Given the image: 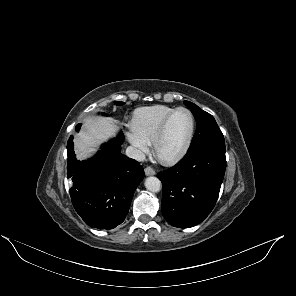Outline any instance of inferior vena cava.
<instances>
[{
    "label": "inferior vena cava",
    "instance_id": "inferior-vena-cava-1",
    "mask_svg": "<svg viewBox=\"0 0 296 296\" xmlns=\"http://www.w3.org/2000/svg\"><path fill=\"white\" fill-rule=\"evenodd\" d=\"M126 155L132 159L139 161V162H142L145 160V154L141 150H139L133 146H129L126 149Z\"/></svg>",
    "mask_w": 296,
    "mask_h": 296
}]
</instances>
